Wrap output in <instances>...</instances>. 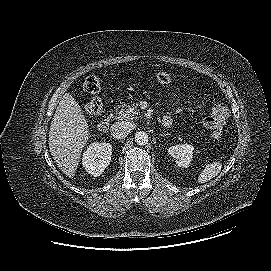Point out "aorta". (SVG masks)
I'll return each mask as SVG.
<instances>
[{"instance_id": "aorta-1", "label": "aorta", "mask_w": 271, "mask_h": 271, "mask_svg": "<svg viewBox=\"0 0 271 271\" xmlns=\"http://www.w3.org/2000/svg\"><path fill=\"white\" fill-rule=\"evenodd\" d=\"M148 134L144 131L136 132L135 141L138 145H146L148 143Z\"/></svg>"}]
</instances>
